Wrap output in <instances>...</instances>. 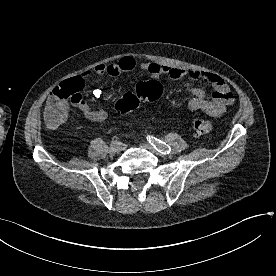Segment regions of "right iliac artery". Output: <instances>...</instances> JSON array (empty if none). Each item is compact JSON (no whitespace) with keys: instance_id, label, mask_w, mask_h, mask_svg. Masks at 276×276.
<instances>
[{"instance_id":"obj_1","label":"right iliac artery","mask_w":276,"mask_h":276,"mask_svg":"<svg viewBox=\"0 0 276 276\" xmlns=\"http://www.w3.org/2000/svg\"><path fill=\"white\" fill-rule=\"evenodd\" d=\"M122 143L118 139H112L111 146H120Z\"/></svg>"}]
</instances>
